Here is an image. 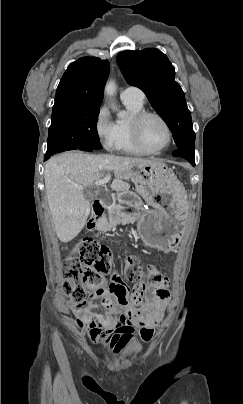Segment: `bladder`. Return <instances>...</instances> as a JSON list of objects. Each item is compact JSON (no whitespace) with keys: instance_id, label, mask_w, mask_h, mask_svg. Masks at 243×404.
I'll return each mask as SVG.
<instances>
[{"instance_id":"31cf9c89","label":"bladder","mask_w":243,"mask_h":404,"mask_svg":"<svg viewBox=\"0 0 243 404\" xmlns=\"http://www.w3.org/2000/svg\"><path fill=\"white\" fill-rule=\"evenodd\" d=\"M143 347L140 344H133L129 347L127 351V356L135 357L141 354Z\"/></svg>"}]
</instances>
